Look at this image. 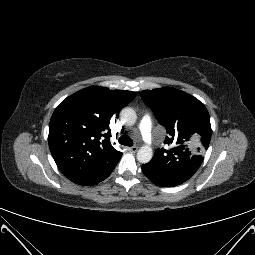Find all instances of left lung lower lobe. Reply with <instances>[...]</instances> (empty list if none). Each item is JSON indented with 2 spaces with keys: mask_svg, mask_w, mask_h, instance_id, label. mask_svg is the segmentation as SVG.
Wrapping results in <instances>:
<instances>
[{
  "mask_svg": "<svg viewBox=\"0 0 255 255\" xmlns=\"http://www.w3.org/2000/svg\"><path fill=\"white\" fill-rule=\"evenodd\" d=\"M142 171L143 173L146 175V177L153 182L154 184L158 185V186H162V187H172V186H176L174 184H172L171 182L158 178L154 175H152L151 173H149L148 171H146L143 166H142Z\"/></svg>",
  "mask_w": 255,
  "mask_h": 255,
  "instance_id": "0a47b994",
  "label": "left lung lower lobe"
}]
</instances>
